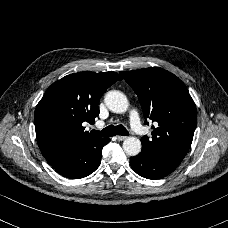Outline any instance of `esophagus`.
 Wrapping results in <instances>:
<instances>
[{"instance_id":"obj_1","label":"esophagus","mask_w":228,"mask_h":228,"mask_svg":"<svg viewBox=\"0 0 228 228\" xmlns=\"http://www.w3.org/2000/svg\"><path fill=\"white\" fill-rule=\"evenodd\" d=\"M118 141H124L127 137L126 136H116Z\"/></svg>"}]
</instances>
